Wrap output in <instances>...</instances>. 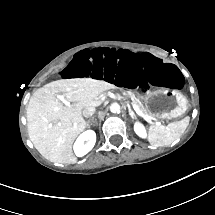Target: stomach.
Segmentation results:
<instances>
[{"label": "stomach", "instance_id": "0dacf381", "mask_svg": "<svg viewBox=\"0 0 215 215\" xmlns=\"http://www.w3.org/2000/svg\"><path fill=\"white\" fill-rule=\"evenodd\" d=\"M145 108L156 118L175 119L185 114L188 108L186 97L178 90L159 88L142 96Z\"/></svg>", "mask_w": 215, "mask_h": 215}]
</instances>
